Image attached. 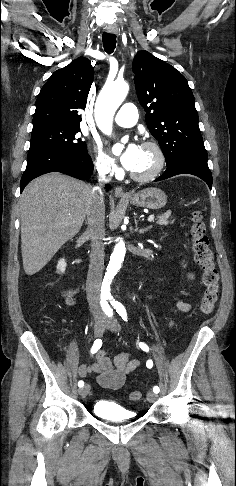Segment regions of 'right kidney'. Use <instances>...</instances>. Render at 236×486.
Masks as SVG:
<instances>
[{
    "label": "right kidney",
    "instance_id": "1",
    "mask_svg": "<svg viewBox=\"0 0 236 486\" xmlns=\"http://www.w3.org/2000/svg\"><path fill=\"white\" fill-rule=\"evenodd\" d=\"M66 266H67V264H66L65 259H60L58 261V264H57V272L58 273H65Z\"/></svg>",
    "mask_w": 236,
    "mask_h": 486
}]
</instances>
